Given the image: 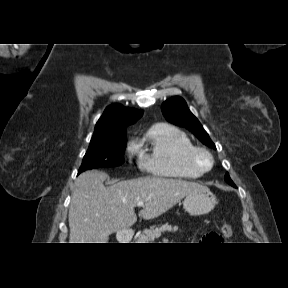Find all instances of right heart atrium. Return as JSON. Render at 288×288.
<instances>
[{"label": "right heart atrium", "mask_w": 288, "mask_h": 288, "mask_svg": "<svg viewBox=\"0 0 288 288\" xmlns=\"http://www.w3.org/2000/svg\"><path fill=\"white\" fill-rule=\"evenodd\" d=\"M130 150H131L132 152L134 151L133 145L130 146Z\"/></svg>", "instance_id": "obj_1"}]
</instances>
